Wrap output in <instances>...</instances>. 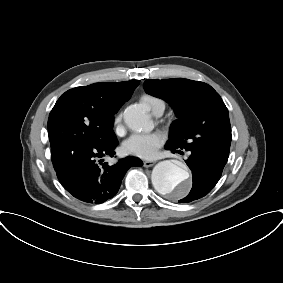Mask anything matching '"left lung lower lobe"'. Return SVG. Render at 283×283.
Segmentation results:
<instances>
[{"instance_id": "0a47b994", "label": "left lung lower lobe", "mask_w": 283, "mask_h": 283, "mask_svg": "<svg viewBox=\"0 0 283 283\" xmlns=\"http://www.w3.org/2000/svg\"><path fill=\"white\" fill-rule=\"evenodd\" d=\"M165 148L172 150L173 153L179 149H184L167 144ZM185 150L189 151L190 154L186 163L192 170L193 186L188 196L179 202H191L208 194L220 179L228 159L225 156L213 157L195 149Z\"/></svg>"}]
</instances>
